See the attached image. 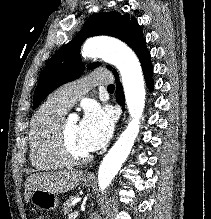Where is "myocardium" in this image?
<instances>
[{
	"instance_id": "f54148a6",
	"label": "myocardium",
	"mask_w": 211,
	"mask_h": 219,
	"mask_svg": "<svg viewBox=\"0 0 211 219\" xmlns=\"http://www.w3.org/2000/svg\"><path fill=\"white\" fill-rule=\"evenodd\" d=\"M55 144L60 156L69 164H84L92 158L90 153L80 155L74 152L68 139L66 121L64 119H61L56 127Z\"/></svg>"
}]
</instances>
